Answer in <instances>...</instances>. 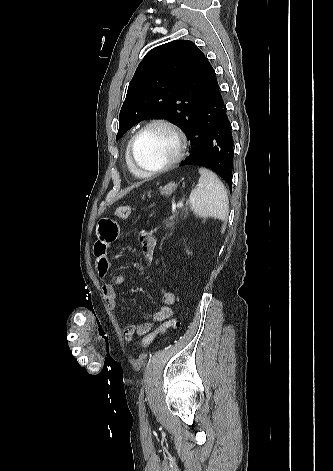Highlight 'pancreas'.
<instances>
[{
    "label": "pancreas",
    "mask_w": 333,
    "mask_h": 471,
    "mask_svg": "<svg viewBox=\"0 0 333 471\" xmlns=\"http://www.w3.org/2000/svg\"><path fill=\"white\" fill-rule=\"evenodd\" d=\"M181 215L183 218H187L188 217V209L187 208H183L181 209ZM179 216V212H176L175 214H173L172 216H170L169 218L165 219L163 221V225L165 226L166 229H170L172 230L174 225H175V219Z\"/></svg>",
    "instance_id": "obj_1"
}]
</instances>
